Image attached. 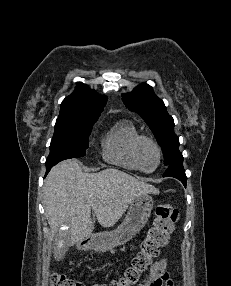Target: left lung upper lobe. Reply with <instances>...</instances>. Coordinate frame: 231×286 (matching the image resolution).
<instances>
[{
    "label": "left lung upper lobe",
    "instance_id": "1",
    "mask_svg": "<svg viewBox=\"0 0 231 286\" xmlns=\"http://www.w3.org/2000/svg\"><path fill=\"white\" fill-rule=\"evenodd\" d=\"M122 99L126 107L138 113L154 133L166 166L183 157L179 151V138L174 133V120L152 87L142 83L131 93L123 94Z\"/></svg>",
    "mask_w": 231,
    "mask_h": 286
}]
</instances>
